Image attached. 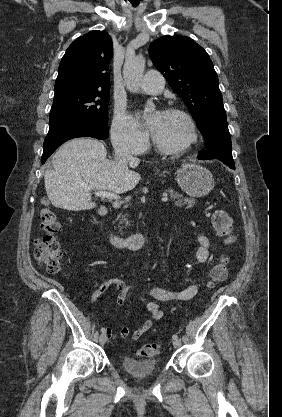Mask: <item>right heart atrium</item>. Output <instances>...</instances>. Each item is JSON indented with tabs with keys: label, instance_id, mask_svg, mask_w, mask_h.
I'll return each mask as SVG.
<instances>
[{
	"label": "right heart atrium",
	"instance_id": "right-heart-atrium-1",
	"mask_svg": "<svg viewBox=\"0 0 282 417\" xmlns=\"http://www.w3.org/2000/svg\"><path fill=\"white\" fill-rule=\"evenodd\" d=\"M148 134L142 130L122 108L115 110L111 126V140L116 151L137 155L144 152Z\"/></svg>",
	"mask_w": 282,
	"mask_h": 417
}]
</instances>
